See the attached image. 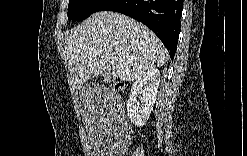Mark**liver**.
Wrapping results in <instances>:
<instances>
[{
	"mask_svg": "<svg viewBox=\"0 0 247 156\" xmlns=\"http://www.w3.org/2000/svg\"><path fill=\"white\" fill-rule=\"evenodd\" d=\"M65 43L68 68L77 88L92 74L132 81L168 60L167 50L150 29L110 11L94 13L67 32Z\"/></svg>",
	"mask_w": 247,
	"mask_h": 156,
	"instance_id": "liver-1",
	"label": "liver"
}]
</instances>
